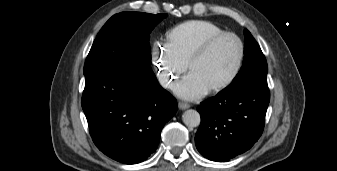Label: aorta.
Listing matches in <instances>:
<instances>
[{
	"instance_id": "762f6f07",
	"label": "aorta",
	"mask_w": 337,
	"mask_h": 171,
	"mask_svg": "<svg viewBox=\"0 0 337 171\" xmlns=\"http://www.w3.org/2000/svg\"><path fill=\"white\" fill-rule=\"evenodd\" d=\"M182 120L188 127H197L201 121L199 112L193 109L186 110L182 115Z\"/></svg>"
}]
</instances>
